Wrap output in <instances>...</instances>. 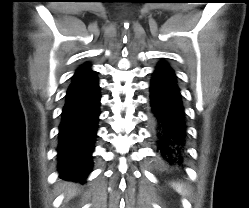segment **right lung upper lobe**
<instances>
[{
  "label": "right lung upper lobe",
  "instance_id": "right-lung-upper-lobe-1",
  "mask_svg": "<svg viewBox=\"0 0 249 208\" xmlns=\"http://www.w3.org/2000/svg\"><path fill=\"white\" fill-rule=\"evenodd\" d=\"M92 72H93V71L90 70V65H89V64H84V65H82L81 67H79V68L76 70V73H75L74 76H73V80L76 79V78H79V77H81V76L90 74V73H92Z\"/></svg>",
  "mask_w": 249,
  "mask_h": 208
}]
</instances>
